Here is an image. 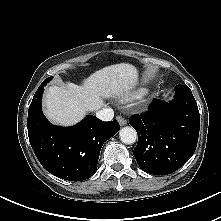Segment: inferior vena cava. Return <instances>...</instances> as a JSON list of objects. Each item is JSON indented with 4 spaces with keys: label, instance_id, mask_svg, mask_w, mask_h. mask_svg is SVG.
<instances>
[{
    "label": "inferior vena cava",
    "instance_id": "inferior-vena-cava-1",
    "mask_svg": "<svg viewBox=\"0 0 221 221\" xmlns=\"http://www.w3.org/2000/svg\"><path fill=\"white\" fill-rule=\"evenodd\" d=\"M96 116L102 121H111L114 117V111L111 108H102L96 112Z\"/></svg>",
    "mask_w": 221,
    "mask_h": 221
}]
</instances>
